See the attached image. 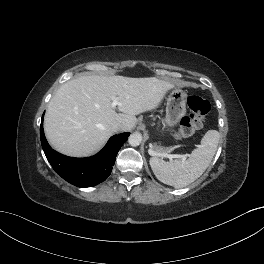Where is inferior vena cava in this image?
<instances>
[{"instance_id": "1", "label": "inferior vena cava", "mask_w": 264, "mask_h": 264, "mask_svg": "<svg viewBox=\"0 0 264 264\" xmlns=\"http://www.w3.org/2000/svg\"><path fill=\"white\" fill-rule=\"evenodd\" d=\"M123 128V125L121 123H116L112 126L113 131H120Z\"/></svg>"}]
</instances>
